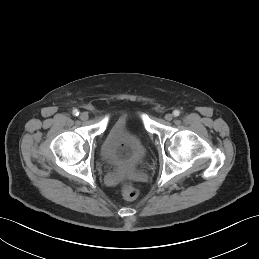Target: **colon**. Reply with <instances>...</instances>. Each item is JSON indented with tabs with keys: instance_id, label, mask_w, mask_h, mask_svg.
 Returning a JSON list of instances; mask_svg holds the SVG:
<instances>
[{
	"instance_id": "obj_1",
	"label": "colon",
	"mask_w": 259,
	"mask_h": 259,
	"mask_svg": "<svg viewBox=\"0 0 259 259\" xmlns=\"http://www.w3.org/2000/svg\"><path fill=\"white\" fill-rule=\"evenodd\" d=\"M121 192L124 198L133 200L136 199L140 191L135 185L130 177H124L121 181Z\"/></svg>"
}]
</instances>
